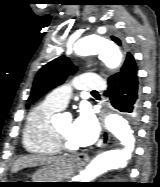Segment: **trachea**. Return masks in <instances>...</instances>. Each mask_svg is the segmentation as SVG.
<instances>
[{
	"instance_id": "obj_1",
	"label": "trachea",
	"mask_w": 160,
	"mask_h": 187,
	"mask_svg": "<svg viewBox=\"0 0 160 187\" xmlns=\"http://www.w3.org/2000/svg\"><path fill=\"white\" fill-rule=\"evenodd\" d=\"M92 93H97V91H92Z\"/></svg>"
}]
</instances>
